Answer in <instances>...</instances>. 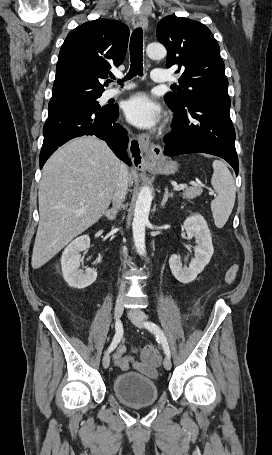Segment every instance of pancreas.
Instances as JSON below:
<instances>
[{"label": "pancreas", "instance_id": "obj_1", "mask_svg": "<svg viewBox=\"0 0 272 455\" xmlns=\"http://www.w3.org/2000/svg\"><path fill=\"white\" fill-rule=\"evenodd\" d=\"M202 187L201 186H193V187H187L184 189L182 193V197L184 199H194L202 194Z\"/></svg>", "mask_w": 272, "mask_h": 455}]
</instances>
